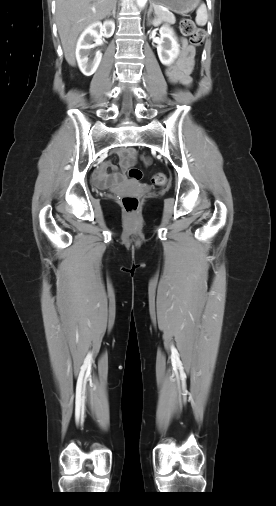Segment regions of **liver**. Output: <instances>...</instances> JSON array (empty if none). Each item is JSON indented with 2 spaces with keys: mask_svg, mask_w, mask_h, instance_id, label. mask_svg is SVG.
Listing matches in <instances>:
<instances>
[{
  "mask_svg": "<svg viewBox=\"0 0 276 506\" xmlns=\"http://www.w3.org/2000/svg\"><path fill=\"white\" fill-rule=\"evenodd\" d=\"M116 0H56V22L65 59L75 66L79 34L92 23L106 18Z\"/></svg>",
  "mask_w": 276,
  "mask_h": 506,
  "instance_id": "obj_1",
  "label": "liver"
}]
</instances>
